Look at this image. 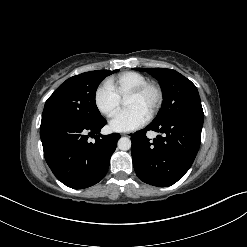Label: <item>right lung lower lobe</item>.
I'll use <instances>...</instances> for the list:
<instances>
[{
  "instance_id": "right-lung-lower-lobe-1",
  "label": "right lung lower lobe",
  "mask_w": 247,
  "mask_h": 247,
  "mask_svg": "<svg viewBox=\"0 0 247 247\" xmlns=\"http://www.w3.org/2000/svg\"><path fill=\"white\" fill-rule=\"evenodd\" d=\"M106 123L102 118L93 124L65 120L41 124L45 160L64 185L83 189L104 178L120 138L118 133L99 134ZM88 136H95V143L88 142Z\"/></svg>"
}]
</instances>
